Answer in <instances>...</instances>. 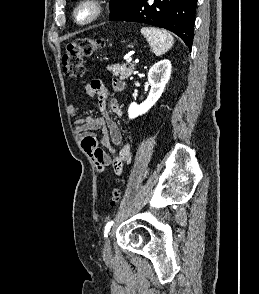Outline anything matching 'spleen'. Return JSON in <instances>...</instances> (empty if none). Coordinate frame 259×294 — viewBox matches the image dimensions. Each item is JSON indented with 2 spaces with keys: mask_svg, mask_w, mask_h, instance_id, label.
Returning a JSON list of instances; mask_svg holds the SVG:
<instances>
[{
  "mask_svg": "<svg viewBox=\"0 0 259 294\" xmlns=\"http://www.w3.org/2000/svg\"><path fill=\"white\" fill-rule=\"evenodd\" d=\"M141 33L157 56L166 53L174 44L173 36L166 30L155 27H143L141 28Z\"/></svg>",
  "mask_w": 259,
  "mask_h": 294,
  "instance_id": "obj_1",
  "label": "spleen"
}]
</instances>
